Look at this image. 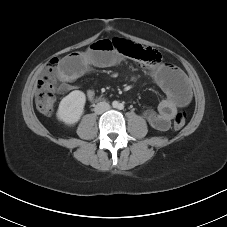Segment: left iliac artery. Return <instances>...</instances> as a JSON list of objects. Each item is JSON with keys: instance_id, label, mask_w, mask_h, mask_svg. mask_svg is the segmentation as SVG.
I'll return each instance as SVG.
<instances>
[{"instance_id": "left-iliac-artery-1", "label": "left iliac artery", "mask_w": 227, "mask_h": 227, "mask_svg": "<svg viewBox=\"0 0 227 227\" xmlns=\"http://www.w3.org/2000/svg\"><path fill=\"white\" fill-rule=\"evenodd\" d=\"M124 108V105L123 104H120L119 105V109H123Z\"/></svg>"}]
</instances>
